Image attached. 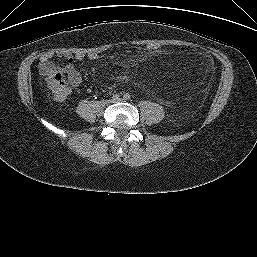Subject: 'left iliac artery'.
I'll list each match as a JSON object with an SVG mask.
<instances>
[{"label": "left iliac artery", "instance_id": "obj_1", "mask_svg": "<svg viewBox=\"0 0 257 257\" xmlns=\"http://www.w3.org/2000/svg\"><path fill=\"white\" fill-rule=\"evenodd\" d=\"M123 98H124L125 100H129V99H130V95H129L128 93H126V94H124Z\"/></svg>", "mask_w": 257, "mask_h": 257}]
</instances>
